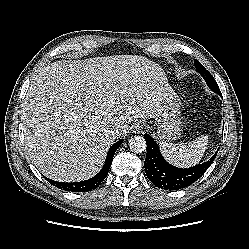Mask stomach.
I'll return each instance as SVG.
<instances>
[{"mask_svg":"<svg viewBox=\"0 0 249 249\" xmlns=\"http://www.w3.org/2000/svg\"><path fill=\"white\" fill-rule=\"evenodd\" d=\"M181 104L171 89L164 99L163 110L155 118L156 137L161 142L177 140L182 132Z\"/></svg>","mask_w":249,"mask_h":249,"instance_id":"1","label":"stomach"}]
</instances>
